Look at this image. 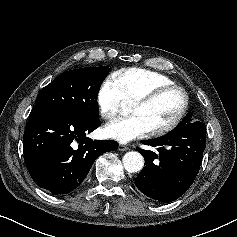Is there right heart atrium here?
Returning a JSON list of instances; mask_svg holds the SVG:
<instances>
[{
  "instance_id": "1",
  "label": "right heart atrium",
  "mask_w": 237,
  "mask_h": 237,
  "mask_svg": "<svg viewBox=\"0 0 237 237\" xmlns=\"http://www.w3.org/2000/svg\"><path fill=\"white\" fill-rule=\"evenodd\" d=\"M125 103L122 91L115 80L111 77L104 79L96 95L100 116L105 120L113 119Z\"/></svg>"
}]
</instances>
